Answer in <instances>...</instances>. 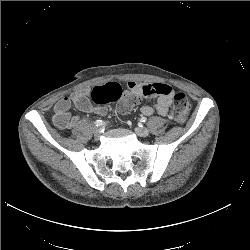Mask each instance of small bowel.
<instances>
[{"label":"small bowel","mask_w":250,"mask_h":250,"mask_svg":"<svg viewBox=\"0 0 250 250\" xmlns=\"http://www.w3.org/2000/svg\"><path fill=\"white\" fill-rule=\"evenodd\" d=\"M128 87L131 91L138 92L144 98H156V104L143 105L141 112L145 116H151L155 113L165 116L173 98V89L166 83L143 84L130 81ZM91 91L89 89L81 90L69 97L61 98L54 106L53 123L59 129H71L78 122V117L70 113V108L75 106L78 110L86 113L105 115L107 108L100 105H93L90 101Z\"/></svg>","instance_id":"c3829d8e"}]
</instances>
